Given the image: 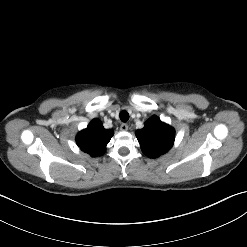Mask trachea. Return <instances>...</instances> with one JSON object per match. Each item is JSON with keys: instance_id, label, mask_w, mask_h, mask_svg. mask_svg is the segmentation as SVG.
<instances>
[{"instance_id": "obj_1", "label": "trachea", "mask_w": 247, "mask_h": 247, "mask_svg": "<svg viewBox=\"0 0 247 247\" xmlns=\"http://www.w3.org/2000/svg\"><path fill=\"white\" fill-rule=\"evenodd\" d=\"M119 117L122 122H127L129 120V114L125 110L120 112Z\"/></svg>"}]
</instances>
